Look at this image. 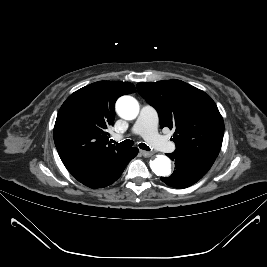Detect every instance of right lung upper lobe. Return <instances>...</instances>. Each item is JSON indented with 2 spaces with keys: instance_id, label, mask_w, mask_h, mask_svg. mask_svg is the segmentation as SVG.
Instances as JSON below:
<instances>
[{
  "instance_id": "cb5924a9",
  "label": "right lung upper lobe",
  "mask_w": 267,
  "mask_h": 267,
  "mask_svg": "<svg viewBox=\"0 0 267 267\" xmlns=\"http://www.w3.org/2000/svg\"><path fill=\"white\" fill-rule=\"evenodd\" d=\"M135 91L129 82L99 81L77 90L61 106L54 142L62 162L78 181L127 149L109 142L107 128L114 124L116 100Z\"/></svg>"
}]
</instances>
